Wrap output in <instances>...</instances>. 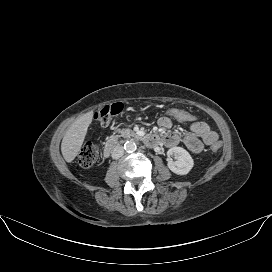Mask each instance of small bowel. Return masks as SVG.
I'll return each mask as SVG.
<instances>
[{
	"mask_svg": "<svg viewBox=\"0 0 272 272\" xmlns=\"http://www.w3.org/2000/svg\"><path fill=\"white\" fill-rule=\"evenodd\" d=\"M158 125L163 129H171L172 120L162 116L158 119ZM218 140L216 132L203 121H191L188 124V131L181 136L179 132L169 130L164 136V142L168 146H175L182 141L193 153H200L204 145H212Z\"/></svg>",
	"mask_w": 272,
	"mask_h": 272,
	"instance_id": "small-bowel-1",
	"label": "small bowel"
}]
</instances>
